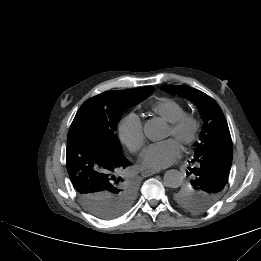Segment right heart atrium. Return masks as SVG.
I'll list each match as a JSON object with an SVG mask.
<instances>
[{"instance_id":"right-heart-atrium-1","label":"right heart atrium","mask_w":261,"mask_h":261,"mask_svg":"<svg viewBox=\"0 0 261 261\" xmlns=\"http://www.w3.org/2000/svg\"><path fill=\"white\" fill-rule=\"evenodd\" d=\"M120 140L132 152L137 153L145 143L143 124L136 113L127 114L119 123Z\"/></svg>"}]
</instances>
